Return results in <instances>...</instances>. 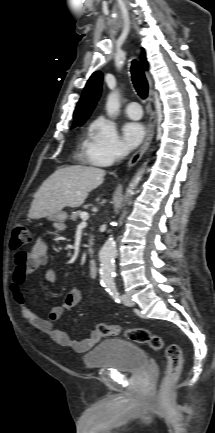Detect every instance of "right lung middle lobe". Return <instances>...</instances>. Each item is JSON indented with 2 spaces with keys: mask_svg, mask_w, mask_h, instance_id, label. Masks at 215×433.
Masks as SVG:
<instances>
[{
  "mask_svg": "<svg viewBox=\"0 0 215 433\" xmlns=\"http://www.w3.org/2000/svg\"><path fill=\"white\" fill-rule=\"evenodd\" d=\"M83 123H84V122H76V123H74L73 126L75 127V126H77V125H82Z\"/></svg>",
  "mask_w": 215,
  "mask_h": 433,
  "instance_id": "1",
  "label": "right lung middle lobe"
}]
</instances>
